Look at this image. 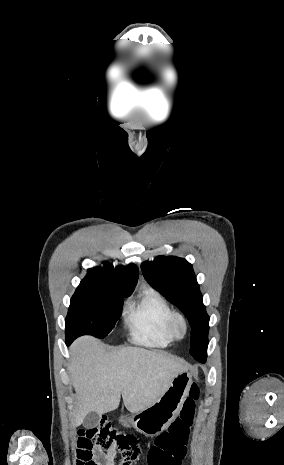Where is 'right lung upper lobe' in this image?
Instances as JSON below:
<instances>
[{
    "label": "right lung upper lobe",
    "instance_id": "1",
    "mask_svg": "<svg viewBox=\"0 0 284 465\" xmlns=\"http://www.w3.org/2000/svg\"><path fill=\"white\" fill-rule=\"evenodd\" d=\"M103 264L104 268L88 269L86 277L80 284L100 287L121 295H130L138 280V268L130 264L114 269L113 265L108 262H103Z\"/></svg>",
    "mask_w": 284,
    "mask_h": 465
}]
</instances>
